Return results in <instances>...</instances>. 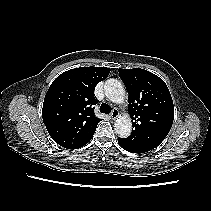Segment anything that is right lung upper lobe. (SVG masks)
I'll return each mask as SVG.
<instances>
[{"label": "right lung upper lobe", "instance_id": "1", "mask_svg": "<svg viewBox=\"0 0 211 211\" xmlns=\"http://www.w3.org/2000/svg\"><path fill=\"white\" fill-rule=\"evenodd\" d=\"M110 73L106 67H80L59 75L48 89L42 109L52 139L67 149L87 144L101 119L94 115L95 86Z\"/></svg>", "mask_w": 211, "mask_h": 211}]
</instances>
